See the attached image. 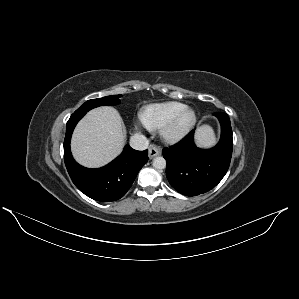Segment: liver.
<instances>
[{"instance_id": "obj_1", "label": "liver", "mask_w": 299, "mask_h": 299, "mask_svg": "<svg viewBox=\"0 0 299 299\" xmlns=\"http://www.w3.org/2000/svg\"><path fill=\"white\" fill-rule=\"evenodd\" d=\"M125 138L118 111L112 107H98L77 124L71 141L72 154L83 166L101 167L121 153ZM197 138L204 145L214 143L212 131L207 127L199 128Z\"/></svg>"}]
</instances>
